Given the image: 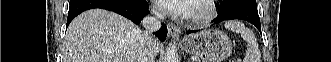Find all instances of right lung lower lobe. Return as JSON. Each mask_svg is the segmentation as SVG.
<instances>
[{
    "label": "right lung lower lobe",
    "mask_w": 331,
    "mask_h": 62,
    "mask_svg": "<svg viewBox=\"0 0 331 62\" xmlns=\"http://www.w3.org/2000/svg\"><path fill=\"white\" fill-rule=\"evenodd\" d=\"M146 0H135L126 2L123 0H70L67 27L70 22L81 12L101 8L116 12L135 24H140L142 18L149 13ZM160 41H164L167 36V28L164 24L159 31L155 33Z\"/></svg>",
    "instance_id": "98d812e1"
}]
</instances>
